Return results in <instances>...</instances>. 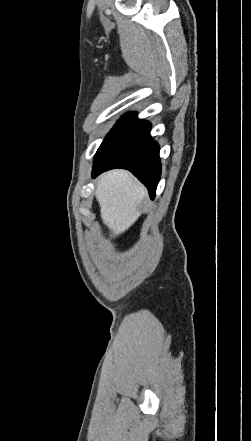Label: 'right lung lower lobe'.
<instances>
[{"label":"right lung lower lobe","instance_id":"right-lung-lower-lobe-1","mask_svg":"<svg viewBox=\"0 0 251 441\" xmlns=\"http://www.w3.org/2000/svg\"><path fill=\"white\" fill-rule=\"evenodd\" d=\"M151 124L139 120L135 113L124 115L100 145L94 157L92 177L123 168L131 171L154 199L160 180L159 145L149 135Z\"/></svg>","mask_w":251,"mask_h":441}]
</instances>
